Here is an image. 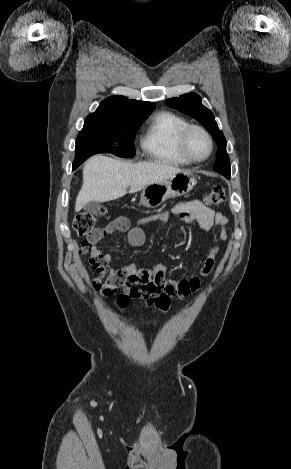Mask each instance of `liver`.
Segmentation results:
<instances>
[{
  "label": "liver",
  "instance_id": "liver-1",
  "mask_svg": "<svg viewBox=\"0 0 291 469\" xmlns=\"http://www.w3.org/2000/svg\"><path fill=\"white\" fill-rule=\"evenodd\" d=\"M181 169L163 163H130L95 155L83 167V185L75 202L79 212L88 202H107L135 193L146 186L180 173Z\"/></svg>",
  "mask_w": 291,
  "mask_h": 469
}]
</instances>
